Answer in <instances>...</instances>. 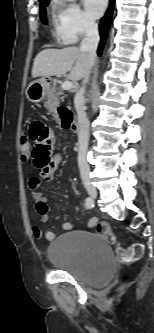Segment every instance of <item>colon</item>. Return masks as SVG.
I'll return each mask as SVG.
<instances>
[{"mask_svg":"<svg viewBox=\"0 0 154 333\" xmlns=\"http://www.w3.org/2000/svg\"><path fill=\"white\" fill-rule=\"evenodd\" d=\"M60 115H61L64 123L69 122V120L71 118V112L67 108L62 107L60 109ZM21 148H22L21 155H22V159L24 161H26L30 157H32L31 156V141L28 137L22 138ZM97 233L100 234L108 244L115 246L117 258L120 262H132V261H136L141 258L142 254H143L142 245L139 243H134L126 249L120 247L116 243L115 236H114L110 226L107 223H105V222L99 223L97 225Z\"/></svg>","mask_w":154,"mask_h":333,"instance_id":"colon-1","label":"colon"}]
</instances>
